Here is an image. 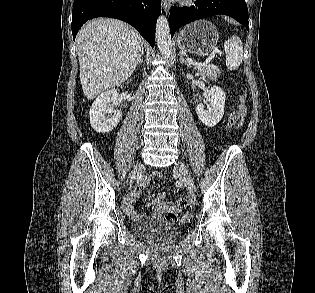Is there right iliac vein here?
<instances>
[{"label": "right iliac vein", "instance_id": "right-iliac-vein-1", "mask_svg": "<svg viewBox=\"0 0 315 293\" xmlns=\"http://www.w3.org/2000/svg\"><path fill=\"white\" fill-rule=\"evenodd\" d=\"M141 169V165H139L138 167H136V169L132 172L131 174V182H133L137 176V174L139 173Z\"/></svg>", "mask_w": 315, "mask_h": 293}]
</instances>
